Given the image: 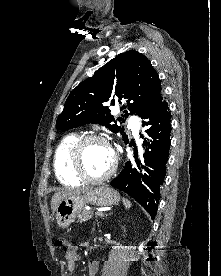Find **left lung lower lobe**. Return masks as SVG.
<instances>
[{"instance_id": "1", "label": "left lung lower lobe", "mask_w": 221, "mask_h": 276, "mask_svg": "<svg viewBox=\"0 0 221 276\" xmlns=\"http://www.w3.org/2000/svg\"><path fill=\"white\" fill-rule=\"evenodd\" d=\"M143 119L147 120L143 121V127L151 125L146 130L150 139L144 140V160L141 162L135 151V162H126L119 176L111 181V186L134 198L154 219L171 143V114L167 101L163 99Z\"/></svg>"}]
</instances>
